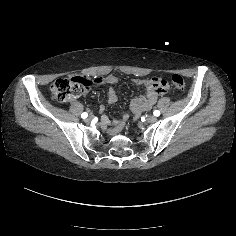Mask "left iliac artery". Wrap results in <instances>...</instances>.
<instances>
[{
  "instance_id": "obj_1",
  "label": "left iliac artery",
  "mask_w": 236,
  "mask_h": 236,
  "mask_svg": "<svg viewBox=\"0 0 236 236\" xmlns=\"http://www.w3.org/2000/svg\"><path fill=\"white\" fill-rule=\"evenodd\" d=\"M153 114H154V116H159L160 115V111L159 110H155L154 112H153Z\"/></svg>"
}]
</instances>
